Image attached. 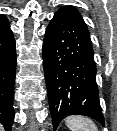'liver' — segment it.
Segmentation results:
<instances>
[{"label": "liver", "mask_w": 117, "mask_h": 131, "mask_svg": "<svg viewBox=\"0 0 117 131\" xmlns=\"http://www.w3.org/2000/svg\"><path fill=\"white\" fill-rule=\"evenodd\" d=\"M3 130V128H2V126L0 125V131H2Z\"/></svg>", "instance_id": "1"}]
</instances>
